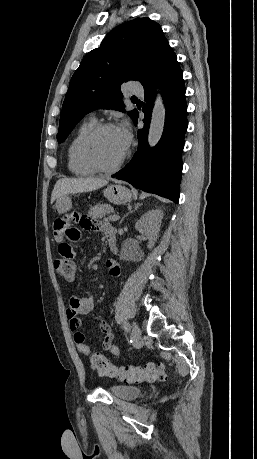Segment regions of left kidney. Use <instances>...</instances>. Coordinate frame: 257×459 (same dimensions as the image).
<instances>
[{
	"instance_id": "5707ae66",
	"label": "left kidney",
	"mask_w": 257,
	"mask_h": 459,
	"mask_svg": "<svg viewBox=\"0 0 257 459\" xmlns=\"http://www.w3.org/2000/svg\"><path fill=\"white\" fill-rule=\"evenodd\" d=\"M162 219V210H150L146 212L135 224L136 230L148 238L149 248H152L158 239Z\"/></svg>"
}]
</instances>
